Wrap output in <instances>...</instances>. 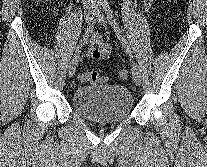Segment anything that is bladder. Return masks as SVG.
Segmentation results:
<instances>
[{
    "label": "bladder",
    "mask_w": 207,
    "mask_h": 167,
    "mask_svg": "<svg viewBox=\"0 0 207 167\" xmlns=\"http://www.w3.org/2000/svg\"><path fill=\"white\" fill-rule=\"evenodd\" d=\"M74 109L94 122H117L126 118L133 108V96L122 85H89L75 90Z\"/></svg>",
    "instance_id": "obj_1"
}]
</instances>
